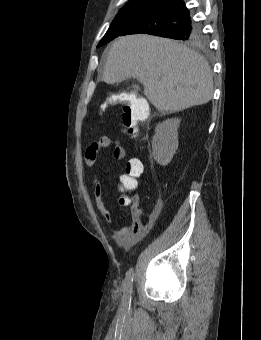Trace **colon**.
<instances>
[{
	"label": "colon",
	"instance_id": "1",
	"mask_svg": "<svg viewBox=\"0 0 261 340\" xmlns=\"http://www.w3.org/2000/svg\"><path fill=\"white\" fill-rule=\"evenodd\" d=\"M113 101H106L101 106V111L107 109ZM149 114V108L146 101L132 98L125 102L122 110L123 124L131 136H135L139 132V123L146 120ZM143 172V164L139 159H131L127 163V177L121 181V187L126 190L134 189L137 185L136 178ZM118 202L122 206L130 204V199L127 196H121Z\"/></svg>",
	"mask_w": 261,
	"mask_h": 340
}]
</instances>
